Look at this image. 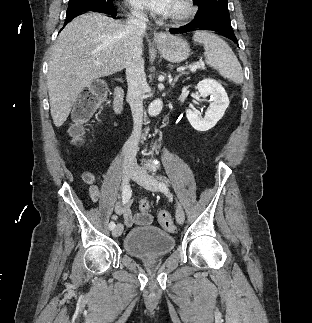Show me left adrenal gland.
Segmentation results:
<instances>
[{
  "mask_svg": "<svg viewBox=\"0 0 312 323\" xmlns=\"http://www.w3.org/2000/svg\"><path fill=\"white\" fill-rule=\"evenodd\" d=\"M180 76H182V74H178V76H176V78H171L170 74H169V78L171 80V82H169L170 86H172V88H174L176 82H178Z\"/></svg>",
  "mask_w": 312,
  "mask_h": 323,
  "instance_id": "obj_1",
  "label": "left adrenal gland"
}]
</instances>
